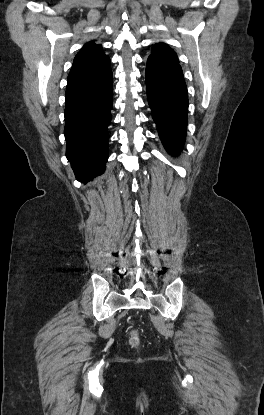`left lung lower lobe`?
<instances>
[{
    "label": "left lung lower lobe",
    "mask_w": 264,
    "mask_h": 415,
    "mask_svg": "<svg viewBox=\"0 0 264 415\" xmlns=\"http://www.w3.org/2000/svg\"><path fill=\"white\" fill-rule=\"evenodd\" d=\"M146 90L160 139L169 153L178 154L185 141L188 110L187 88L179 63L149 56Z\"/></svg>",
    "instance_id": "0a47b994"
}]
</instances>
